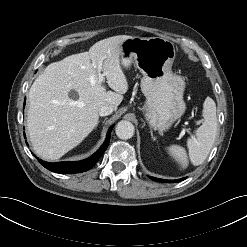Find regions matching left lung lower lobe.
Here are the masks:
<instances>
[{"mask_svg": "<svg viewBox=\"0 0 247 247\" xmlns=\"http://www.w3.org/2000/svg\"><path fill=\"white\" fill-rule=\"evenodd\" d=\"M150 179H152L154 181L162 182V183H175V182H180L182 180H185L186 178H181V179H177V180H164V179H158L155 177H150Z\"/></svg>", "mask_w": 247, "mask_h": 247, "instance_id": "0a47b994", "label": "left lung lower lobe"}]
</instances>
